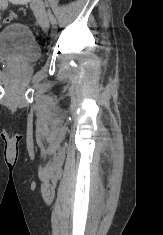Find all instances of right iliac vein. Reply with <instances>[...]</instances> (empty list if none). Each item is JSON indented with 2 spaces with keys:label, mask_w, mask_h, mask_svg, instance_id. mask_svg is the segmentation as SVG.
<instances>
[{
  "label": "right iliac vein",
  "mask_w": 163,
  "mask_h": 235,
  "mask_svg": "<svg viewBox=\"0 0 163 235\" xmlns=\"http://www.w3.org/2000/svg\"><path fill=\"white\" fill-rule=\"evenodd\" d=\"M6 2V0H0V8L2 7V5Z\"/></svg>",
  "instance_id": "obj_1"
}]
</instances>
